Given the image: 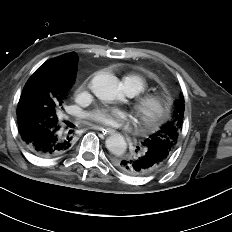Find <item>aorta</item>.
I'll use <instances>...</instances> for the list:
<instances>
[{
	"instance_id": "obj_1",
	"label": "aorta",
	"mask_w": 232,
	"mask_h": 232,
	"mask_svg": "<svg viewBox=\"0 0 232 232\" xmlns=\"http://www.w3.org/2000/svg\"><path fill=\"white\" fill-rule=\"evenodd\" d=\"M91 86L94 94L101 100L113 101L121 98L119 80L111 73L101 72L96 74ZM106 148L114 155H122L127 147L126 141L120 134H113L105 141Z\"/></svg>"
}]
</instances>
